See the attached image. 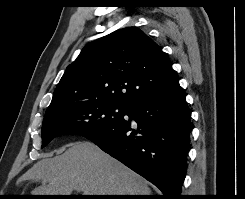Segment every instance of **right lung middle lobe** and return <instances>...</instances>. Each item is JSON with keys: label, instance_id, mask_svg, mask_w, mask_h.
<instances>
[{"label": "right lung middle lobe", "instance_id": "dd1d6c3e", "mask_svg": "<svg viewBox=\"0 0 245 199\" xmlns=\"http://www.w3.org/2000/svg\"><path fill=\"white\" fill-rule=\"evenodd\" d=\"M126 110V106L113 103H87L72 105L45 116L41 129L42 148L61 135L94 137L122 119Z\"/></svg>", "mask_w": 245, "mask_h": 199}]
</instances>
